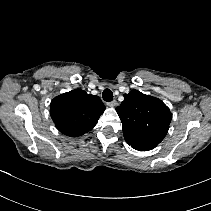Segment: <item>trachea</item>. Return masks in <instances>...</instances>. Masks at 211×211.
Returning <instances> with one entry per match:
<instances>
[{
	"label": "trachea",
	"mask_w": 211,
	"mask_h": 211,
	"mask_svg": "<svg viewBox=\"0 0 211 211\" xmlns=\"http://www.w3.org/2000/svg\"><path fill=\"white\" fill-rule=\"evenodd\" d=\"M102 97L106 102H111L113 100V93L110 89H105L102 93Z\"/></svg>",
	"instance_id": "1"
}]
</instances>
